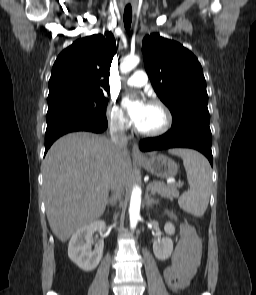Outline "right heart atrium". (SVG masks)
Listing matches in <instances>:
<instances>
[{
	"mask_svg": "<svg viewBox=\"0 0 256 295\" xmlns=\"http://www.w3.org/2000/svg\"><path fill=\"white\" fill-rule=\"evenodd\" d=\"M107 119L110 126L117 131H124L127 128V119L116 104H111L108 107Z\"/></svg>",
	"mask_w": 256,
	"mask_h": 295,
	"instance_id": "obj_1",
	"label": "right heart atrium"
}]
</instances>
